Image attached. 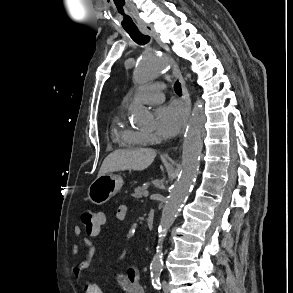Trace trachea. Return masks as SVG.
Listing matches in <instances>:
<instances>
[{"label": "trachea", "instance_id": "obj_1", "mask_svg": "<svg viewBox=\"0 0 293 293\" xmlns=\"http://www.w3.org/2000/svg\"><path fill=\"white\" fill-rule=\"evenodd\" d=\"M125 31L129 34V36L139 45H145L149 42L150 37L142 34L137 28L136 29H125ZM181 84L177 83L174 86L176 93H181Z\"/></svg>", "mask_w": 293, "mask_h": 293}]
</instances>
